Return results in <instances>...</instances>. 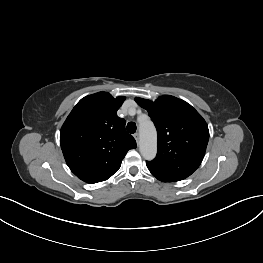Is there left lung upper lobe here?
I'll list each match as a JSON object with an SVG mask.
<instances>
[{
    "mask_svg": "<svg viewBox=\"0 0 263 263\" xmlns=\"http://www.w3.org/2000/svg\"><path fill=\"white\" fill-rule=\"evenodd\" d=\"M146 109L157 129L158 153L147 161L150 172L170 181L190 176L201 164L209 140L202 116L187 102L170 95L155 102L135 98Z\"/></svg>",
    "mask_w": 263,
    "mask_h": 263,
    "instance_id": "left-lung-upper-lobe-1",
    "label": "left lung upper lobe"
}]
</instances>
